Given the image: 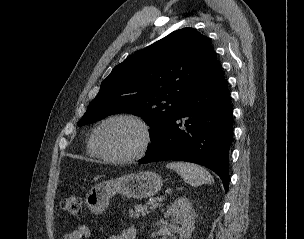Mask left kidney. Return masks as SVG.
Returning a JSON list of instances; mask_svg holds the SVG:
<instances>
[{
    "mask_svg": "<svg viewBox=\"0 0 304 239\" xmlns=\"http://www.w3.org/2000/svg\"><path fill=\"white\" fill-rule=\"evenodd\" d=\"M165 217H170L172 221V224L168 226V230H174L179 234L180 239L190 238L194 229L196 214L191 202L186 197L177 198L168 207Z\"/></svg>",
    "mask_w": 304,
    "mask_h": 239,
    "instance_id": "1",
    "label": "left kidney"
}]
</instances>
